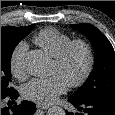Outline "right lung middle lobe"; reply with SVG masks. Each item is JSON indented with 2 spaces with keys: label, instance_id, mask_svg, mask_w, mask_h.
<instances>
[{
  "label": "right lung middle lobe",
  "instance_id": "1",
  "mask_svg": "<svg viewBox=\"0 0 115 115\" xmlns=\"http://www.w3.org/2000/svg\"><path fill=\"white\" fill-rule=\"evenodd\" d=\"M34 28V24L27 27H2L1 28V95H6L15 90L10 87L11 81V56L15 46L26 37Z\"/></svg>",
  "mask_w": 115,
  "mask_h": 115
}]
</instances>
